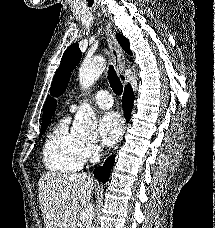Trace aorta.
I'll list each match as a JSON object with an SVG mask.
<instances>
[{
	"label": "aorta",
	"mask_w": 215,
	"mask_h": 228,
	"mask_svg": "<svg viewBox=\"0 0 215 228\" xmlns=\"http://www.w3.org/2000/svg\"><path fill=\"white\" fill-rule=\"evenodd\" d=\"M104 70L103 58H93V60H84L81 68H79V80L83 86H92L98 78H100ZM96 118L90 106H80L77 114H75L72 132L80 134V136H95L96 134Z\"/></svg>",
	"instance_id": "1"
}]
</instances>
